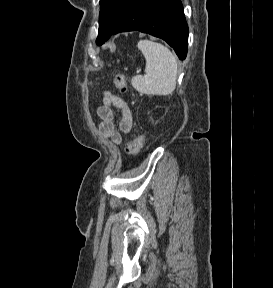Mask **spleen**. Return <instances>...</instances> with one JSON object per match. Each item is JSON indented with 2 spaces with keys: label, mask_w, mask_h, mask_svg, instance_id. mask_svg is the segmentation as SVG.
<instances>
[{
  "label": "spleen",
  "mask_w": 273,
  "mask_h": 288,
  "mask_svg": "<svg viewBox=\"0 0 273 288\" xmlns=\"http://www.w3.org/2000/svg\"><path fill=\"white\" fill-rule=\"evenodd\" d=\"M138 48L146 59L145 75L132 78V86L148 95H169L176 87L177 61L174 54L161 43L140 40Z\"/></svg>",
  "instance_id": "1"
}]
</instances>
